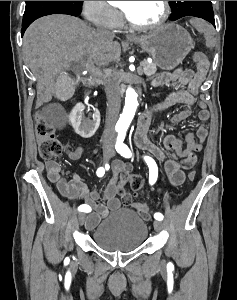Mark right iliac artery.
Segmentation results:
<instances>
[{
    "label": "right iliac artery",
    "instance_id": "1",
    "mask_svg": "<svg viewBox=\"0 0 237 300\" xmlns=\"http://www.w3.org/2000/svg\"><path fill=\"white\" fill-rule=\"evenodd\" d=\"M108 167H109V165L106 164V165H105V168H108ZM96 173H97V176H98V177H102V176L105 174V169H104L103 167H100V168H98V170H97ZM78 210L81 211V212H86V213H88V212L91 211V207H90L89 205L83 204V205H80V206L78 207Z\"/></svg>",
    "mask_w": 237,
    "mask_h": 300
}]
</instances>
